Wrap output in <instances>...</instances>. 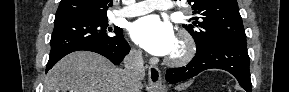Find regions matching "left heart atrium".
I'll list each match as a JSON object with an SVG mask.
<instances>
[{"mask_svg":"<svg viewBox=\"0 0 289 92\" xmlns=\"http://www.w3.org/2000/svg\"><path fill=\"white\" fill-rule=\"evenodd\" d=\"M130 36L140 47L157 56L171 54L177 43L171 24L157 15L135 21L130 28Z\"/></svg>","mask_w":289,"mask_h":92,"instance_id":"1","label":"left heart atrium"}]
</instances>
